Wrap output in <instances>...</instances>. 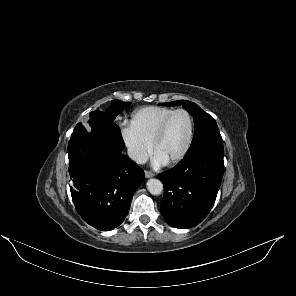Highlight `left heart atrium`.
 Wrapping results in <instances>:
<instances>
[{
    "mask_svg": "<svg viewBox=\"0 0 296 296\" xmlns=\"http://www.w3.org/2000/svg\"><path fill=\"white\" fill-rule=\"evenodd\" d=\"M153 164H154L155 166H161V165H164L165 162H164L159 156H157V155L155 154L154 157H153Z\"/></svg>",
    "mask_w": 296,
    "mask_h": 296,
    "instance_id": "1",
    "label": "left heart atrium"
}]
</instances>
